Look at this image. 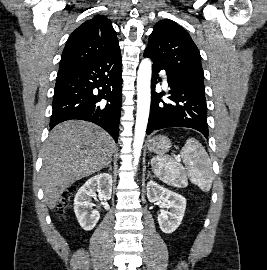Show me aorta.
<instances>
[{"label":"aorta","mask_w":267,"mask_h":270,"mask_svg":"<svg viewBox=\"0 0 267 270\" xmlns=\"http://www.w3.org/2000/svg\"><path fill=\"white\" fill-rule=\"evenodd\" d=\"M152 63L145 58L140 63L137 75V114L133 142L134 166L137 167L144 142L151 102Z\"/></svg>","instance_id":"aorta-1"}]
</instances>
